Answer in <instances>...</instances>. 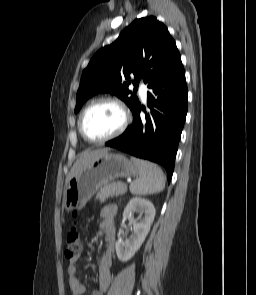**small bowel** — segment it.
Masks as SVG:
<instances>
[{
    "label": "small bowel",
    "instance_id": "obj_1",
    "mask_svg": "<svg viewBox=\"0 0 256 295\" xmlns=\"http://www.w3.org/2000/svg\"><path fill=\"white\" fill-rule=\"evenodd\" d=\"M116 208L114 206H106L100 212L101 222L100 229L106 236L105 252L100 260L98 268V288L92 295H103L110 287L113 279V269L111 265L112 255L115 247V226L114 218ZM79 256L70 260L67 267L68 283L72 295H84L86 292L85 285L77 278V261Z\"/></svg>",
    "mask_w": 256,
    "mask_h": 295
}]
</instances>
